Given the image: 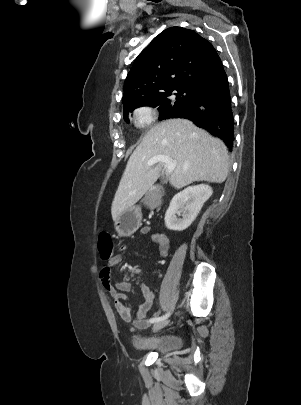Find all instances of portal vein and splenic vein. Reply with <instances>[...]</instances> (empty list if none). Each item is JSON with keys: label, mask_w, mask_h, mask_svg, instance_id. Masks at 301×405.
<instances>
[{"label": "portal vein and splenic vein", "mask_w": 301, "mask_h": 405, "mask_svg": "<svg viewBox=\"0 0 301 405\" xmlns=\"http://www.w3.org/2000/svg\"><path fill=\"white\" fill-rule=\"evenodd\" d=\"M156 163L165 164V174L166 175H170L176 166V161L172 160L170 157L165 156V155H157V156L152 157L148 161L147 166H152Z\"/></svg>", "instance_id": "obj_1"}]
</instances>
